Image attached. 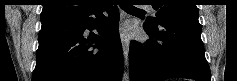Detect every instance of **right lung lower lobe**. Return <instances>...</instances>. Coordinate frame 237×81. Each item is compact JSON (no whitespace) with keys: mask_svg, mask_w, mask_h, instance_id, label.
<instances>
[{"mask_svg":"<svg viewBox=\"0 0 237 81\" xmlns=\"http://www.w3.org/2000/svg\"><path fill=\"white\" fill-rule=\"evenodd\" d=\"M90 4L80 13L42 21L32 81H121L118 8L109 7L105 17L104 3L92 0ZM86 29H96L99 35H87Z\"/></svg>","mask_w":237,"mask_h":81,"instance_id":"obj_1","label":"right lung lower lobe"}]
</instances>
